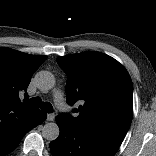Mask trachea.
Masks as SVG:
<instances>
[{
    "instance_id": "trachea-1",
    "label": "trachea",
    "mask_w": 156,
    "mask_h": 156,
    "mask_svg": "<svg viewBox=\"0 0 156 156\" xmlns=\"http://www.w3.org/2000/svg\"><path fill=\"white\" fill-rule=\"evenodd\" d=\"M28 106L32 108H41L47 113L53 112V107L49 102H42L40 97H33L28 101Z\"/></svg>"
}]
</instances>
